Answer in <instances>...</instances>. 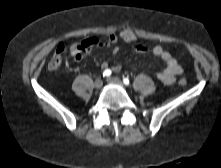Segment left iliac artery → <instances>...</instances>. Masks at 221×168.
Wrapping results in <instances>:
<instances>
[{
  "label": "left iliac artery",
  "mask_w": 221,
  "mask_h": 168,
  "mask_svg": "<svg viewBox=\"0 0 221 168\" xmlns=\"http://www.w3.org/2000/svg\"><path fill=\"white\" fill-rule=\"evenodd\" d=\"M123 82L125 85H129L130 84V81L128 78H123Z\"/></svg>",
  "instance_id": "obj_1"
}]
</instances>
